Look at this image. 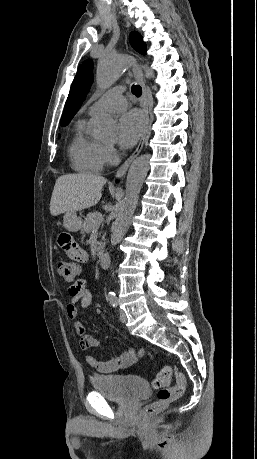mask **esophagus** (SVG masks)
<instances>
[{
	"instance_id": "obj_1",
	"label": "esophagus",
	"mask_w": 257,
	"mask_h": 459,
	"mask_svg": "<svg viewBox=\"0 0 257 459\" xmlns=\"http://www.w3.org/2000/svg\"><path fill=\"white\" fill-rule=\"evenodd\" d=\"M133 74H134V77L137 80V82L142 87L141 107H142L143 113H144V127H143L142 135H141V138H140V141H139V144H138L137 148L130 155V157L121 165V167L118 169V171L116 173V177L117 178H123L125 176L130 164L132 163V161L141 152V150L143 148V145H144V142H145V139H146L148 128H149V111H148L147 89H146L145 80H144V77H143V72H142V70H141V68H140V66L138 64H135L133 66Z\"/></svg>"
}]
</instances>
